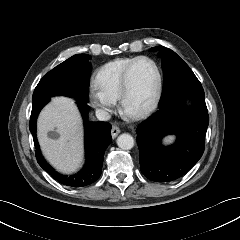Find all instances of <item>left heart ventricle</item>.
<instances>
[{"label":"left heart ventricle","mask_w":240,"mask_h":240,"mask_svg":"<svg viewBox=\"0 0 240 240\" xmlns=\"http://www.w3.org/2000/svg\"><path fill=\"white\" fill-rule=\"evenodd\" d=\"M156 82L157 75L154 65L147 60L138 62L130 77L126 111L135 112L146 106L155 91Z\"/></svg>","instance_id":"obj_1"}]
</instances>
